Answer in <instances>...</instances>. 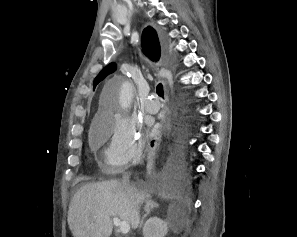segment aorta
<instances>
[{
	"mask_svg": "<svg viewBox=\"0 0 297 237\" xmlns=\"http://www.w3.org/2000/svg\"><path fill=\"white\" fill-rule=\"evenodd\" d=\"M133 97L132 85L129 82H125L120 89L119 103L122 109H126L130 106Z\"/></svg>",
	"mask_w": 297,
	"mask_h": 237,
	"instance_id": "762f6f07",
	"label": "aorta"
}]
</instances>
